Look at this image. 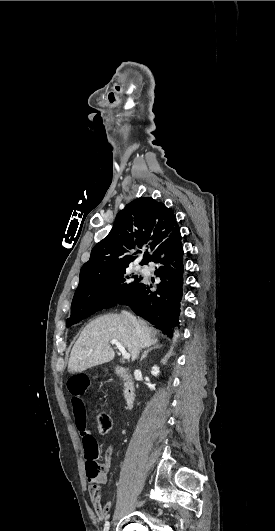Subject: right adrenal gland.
I'll return each instance as SVG.
<instances>
[{
  "instance_id": "2a0ac1e0",
  "label": "right adrenal gland",
  "mask_w": 275,
  "mask_h": 531,
  "mask_svg": "<svg viewBox=\"0 0 275 531\" xmlns=\"http://www.w3.org/2000/svg\"><path fill=\"white\" fill-rule=\"evenodd\" d=\"M160 347H163V345H156V343H153V347H150V349H147V351H144L140 361H143V359H146L148 353H151L153 349H160Z\"/></svg>"
}]
</instances>
